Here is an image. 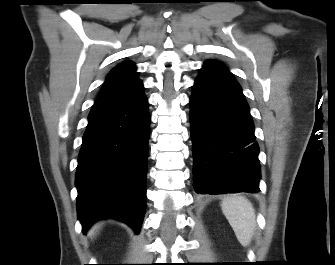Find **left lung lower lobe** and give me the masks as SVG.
<instances>
[{
	"instance_id": "0a47b994",
	"label": "left lung lower lobe",
	"mask_w": 335,
	"mask_h": 265,
	"mask_svg": "<svg viewBox=\"0 0 335 265\" xmlns=\"http://www.w3.org/2000/svg\"><path fill=\"white\" fill-rule=\"evenodd\" d=\"M190 104L196 192H258L261 171L253 121L226 66L203 65Z\"/></svg>"
}]
</instances>
